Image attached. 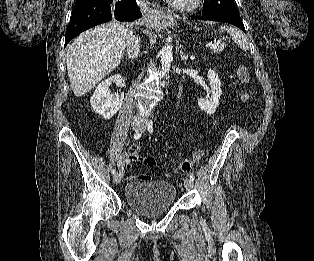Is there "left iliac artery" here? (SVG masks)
Listing matches in <instances>:
<instances>
[{"label":"left iliac artery","mask_w":314,"mask_h":261,"mask_svg":"<svg viewBox=\"0 0 314 261\" xmlns=\"http://www.w3.org/2000/svg\"><path fill=\"white\" fill-rule=\"evenodd\" d=\"M148 131L150 132V133H153V122L152 121H150L149 123H148ZM189 177L192 179V181H194V179H195V177H194V175L192 174V173H190V175H189Z\"/></svg>","instance_id":"44dca946"}]
</instances>
